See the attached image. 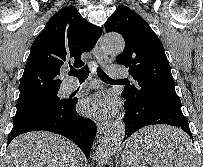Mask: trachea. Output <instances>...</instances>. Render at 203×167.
<instances>
[{"label": "trachea", "mask_w": 203, "mask_h": 167, "mask_svg": "<svg viewBox=\"0 0 203 167\" xmlns=\"http://www.w3.org/2000/svg\"><path fill=\"white\" fill-rule=\"evenodd\" d=\"M89 67L88 65H86L85 67L81 68L78 71H71L69 72L70 76H76L79 81H84L88 78L89 76ZM97 75L98 77L106 82V83H110V82H114V81H123V80H114L112 78H110L100 67L97 68Z\"/></svg>", "instance_id": "1"}]
</instances>
